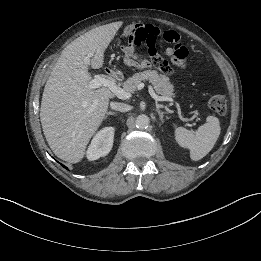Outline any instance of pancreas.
Wrapping results in <instances>:
<instances>
[{
    "label": "pancreas",
    "mask_w": 261,
    "mask_h": 261,
    "mask_svg": "<svg viewBox=\"0 0 261 261\" xmlns=\"http://www.w3.org/2000/svg\"><path fill=\"white\" fill-rule=\"evenodd\" d=\"M148 80L155 91L164 97L174 96V87L166 76L159 75L155 70H146L134 74L123 83V89L130 93H135L141 81Z\"/></svg>",
    "instance_id": "obj_1"
}]
</instances>
